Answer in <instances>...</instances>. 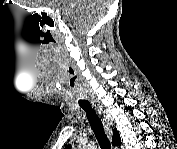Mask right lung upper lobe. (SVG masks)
Segmentation results:
<instances>
[{"label": "right lung upper lobe", "instance_id": "cb5924a9", "mask_svg": "<svg viewBox=\"0 0 177 149\" xmlns=\"http://www.w3.org/2000/svg\"><path fill=\"white\" fill-rule=\"evenodd\" d=\"M112 144L115 145V146H120L121 145V138H120V134L117 131V129H113ZM67 148L70 149V145H68Z\"/></svg>", "mask_w": 177, "mask_h": 149}]
</instances>
